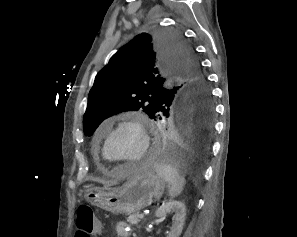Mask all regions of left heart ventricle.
Here are the masks:
<instances>
[{"label":"left heart ventricle","mask_w":297,"mask_h":237,"mask_svg":"<svg viewBox=\"0 0 297 237\" xmlns=\"http://www.w3.org/2000/svg\"><path fill=\"white\" fill-rule=\"evenodd\" d=\"M141 149V139L134 128L124 127L108 144V151L115 157L126 159L137 155Z\"/></svg>","instance_id":"b2bd125f"}]
</instances>
